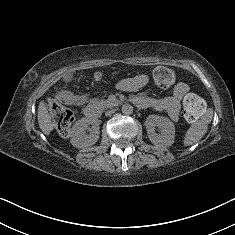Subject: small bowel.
<instances>
[{"label": "small bowel", "instance_id": "obj_1", "mask_svg": "<svg viewBox=\"0 0 235 235\" xmlns=\"http://www.w3.org/2000/svg\"><path fill=\"white\" fill-rule=\"evenodd\" d=\"M147 78L145 76H138L133 79L132 82L122 83V87H128L131 84L136 87L145 85ZM189 91L188 86L185 83H177L171 95L164 98H153L147 96H134L132 101L138 107L151 109L153 111H165L172 121H177L179 118V112L182 99L187 95Z\"/></svg>", "mask_w": 235, "mask_h": 235}]
</instances>
